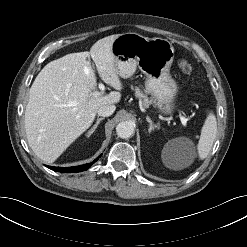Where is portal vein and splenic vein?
I'll return each mask as SVG.
<instances>
[{"instance_id": "1", "label": "portal vein and splenic vein", "mask_w": 247, "mask_h": 247, "mask_svg": "<svg viewBox=\"0 0 247 247\" xmlns=\"http://www.w3.org/2000/svg\"><path fill=\"white\" fill-rule=\"evenodd\" d=\"M98 87H99V89H100L101 91L98 92L97 95L103 94V92H104V90H105L104 84H103V83H99ZM179 118H180V120H181L182 125H183V126H186V124H187V119H186L184 116H182V115H179Z\"/></svg>"}]
</instances>
